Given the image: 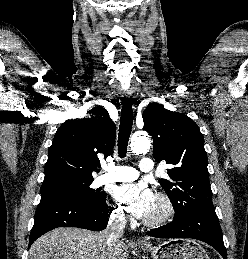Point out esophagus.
Masks as SVG:
<instances>
[{
    "label": "esophagus",
    "mask_w": 248,
    "mask_h": 259,
    "mask_svg": "<svg viewBox=\"0 0 248 259\" xmlns=\"http://www.w3.org/2000/svg\"><path fill=\"white\" fill-rule=\"evenodd\" d=\"M132 93L130 91L124 92V97L129 99L131 97ZM139 243H143V240H139Z\"/></svg>",
    "instance_id": "1"
}]
</instances>
